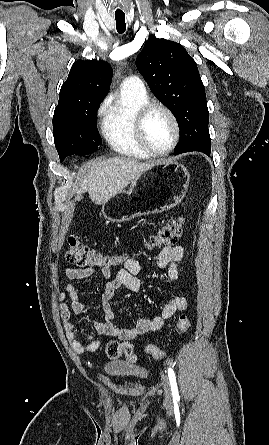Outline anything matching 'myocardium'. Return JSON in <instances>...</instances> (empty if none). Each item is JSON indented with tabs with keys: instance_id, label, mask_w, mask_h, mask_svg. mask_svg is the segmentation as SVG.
Segmentation results:
<instances>
[{
	"instance_id": "obj_1",
	"label": "myocardium",
	"mask_w": 269,
	"mask_h": 445,
	"mask_svg": "<svg viewBox=\"0 0 269 445\" xmlns=\"http://www.w3.org/2000/svg\"><path fill=\"white\" fill-rule=\"evenodd\" d=\"M155 109L162 110L165 112L169 118L172 121L173 127H174V138L171 143V145L162 152H158L154 150L147 142L144 132L145 122L148 117V115ZM134 131L135 136L138 141V144L141 146V148L147 152L150 156L153 157H166L170 155L177 147L180 137H181V128L178 121L177 116L175 113L166 105L159 103V102H146L142 106L139 107V109L136 112L135 119H134Z\"/></svg>"
}]
</instances>
